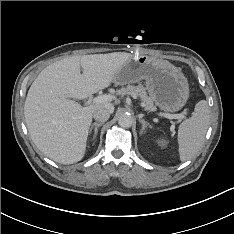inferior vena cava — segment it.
I'll list each match as a JSON object with an SVG mask.
<instances>
[{
    "label": "inferior vena cava",
    "mask_w": 234,
    "mask_h": 234,
    "mask_svg": "<svg viewBox=\"0 0 234 234\" xmlns=\"http://www.w3.org/2000/svg\"><path fill=\"white\" fill-rule=\"evenodd\" d=\"M110 111L107 108L100 107L94 110L93 117L95 120L105 122L110 117Z\"/></svg>",
    "instance_id": "inferior-vena-cava-1"
}]
</instances>
